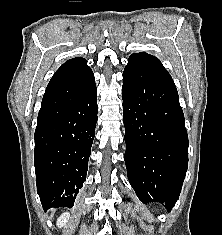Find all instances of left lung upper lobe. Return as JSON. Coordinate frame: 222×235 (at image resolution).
Wrapping results in <instances>:
<instances>
[{"label":"left lung upper lobe","mask_w":222,"mask_h":235,"mask_svg":"<svg viewBox=\"0 0 222 235\" xmlns=\"http://www.w3.org/2000/svg\"><path fill=\"white\" fill-rule=\"evenodd\" d=\"M129 58H140L144 60H149L163 67L158 58H156L155 56H151L145 52L134 53Z\"/></svg>","instance_id":"obj_1"}]
</instances>
